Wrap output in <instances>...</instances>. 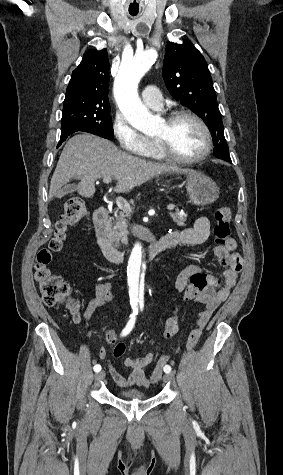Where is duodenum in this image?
Wrapping results in <instances>:
<instances>
[{
  "mask_svg": "<svg viewBox=\"0 0 283 475\" xmlns=\"http://www.w3.org/2000/svg\"><path fill=\"white\" fill-rule=\"evenodd\" d=\"M95 235L97 243L104 254V256L112 262H122L124 260V253L113 246L109 238V211L101 207L97 209L93 217ZM172 246V242L167 235L152 242L146 249L145 255L148 259L155 257L160 252Z\"/></svg>",
  "mask_w": 283,
  "mask_h": 475,
  "instance_id": "duodenum-1",
  "label": "duodenum"
}]
</instances>
